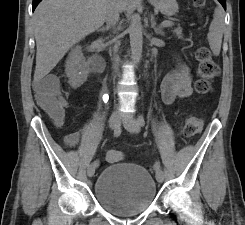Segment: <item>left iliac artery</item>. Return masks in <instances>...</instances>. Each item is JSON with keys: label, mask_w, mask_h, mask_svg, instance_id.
<instances>
[{"label": "left iliac artery", "mask_w": 245, "mask_h": 225, "mask_svg": "<svg viewBox=\"0 0 245 225\" xmlns=\"http://www.w3.org/2000/svg\"><path fill=\"white\" fill-rule=\"evenodd\" d=\"M138 123L140 126H144L145 124V119L142 115H140L138 117ZM153 170L157 173L158 171L161 170V166H160V162H155V164L153 165Z\"/></svg>", "instance_id": "left-iliac-artery-1"}]
</instances>
